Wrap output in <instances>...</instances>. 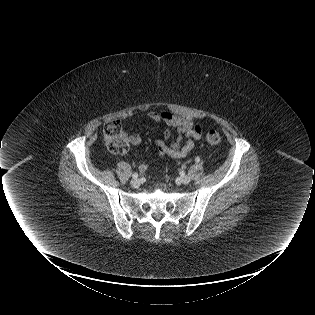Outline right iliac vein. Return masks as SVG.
Returning <instances> with one entry per match:
<instances>
[{"instance_id": "obj_1", "label": "right iliac vein", "mask_w": 315, "mask_h": 315, "mask_svg": "<svg viewBox=\"0 0 315 315\" xmlns=\"http://www.w3.org/2000/svg\"><path fill=\"white\" fill-rule=\"evenodd\" d=\"M130 183L133 187H137L140 185V179H137V178L132 179Z\"/></svg>"}]
</instances>
